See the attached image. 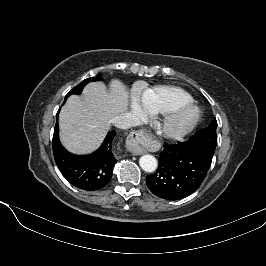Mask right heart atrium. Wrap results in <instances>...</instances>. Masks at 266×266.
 <instances>
[{"instance_id": "right-heart-atrium-1", "label": "right heart atrium", "mask_w": 266, "mask_h": 266, "mask_svg": "<svg viewBox=\"0 0 266 266\" xmlns=\"http://www.w3.org/2000/svg\"><path fill=\"white\" fill-rule=\"evenodd\" d=\"M132 110L139 117L144 118L147 116V112L144 110L143 106L137 101L133 100L132 102Z\"/></svg>"}]
</instances>
